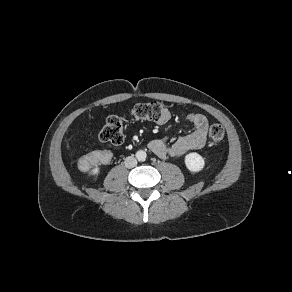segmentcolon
Wrapping results in <instances>:
<instances>
[{
    "mask_svg": "<svg viewBox=\"0 0 292 292\" xmlns=\"http://www.w3.org/2000/svg\"><path fill=\"white\" fill-rule=\"evenodd\" d=\"M164 107L159 102H147L136 104L129 112V117L140 121H159L163 115ZM126 118L120 115H112L107 118L102 128L99 138L103 142L112 145H120L124 140V124ZM224 128L221 124H212L209 129V138L211 143L219 144L224 138ZM111 159L108 151H98L87 156L81 162L86 167L94 163H107Z\"/></svg>",
    "mask_w": 292,
    "mask_h": 292,
    "instance_id": "1",
    "label": "colon"
}]
</instances>
